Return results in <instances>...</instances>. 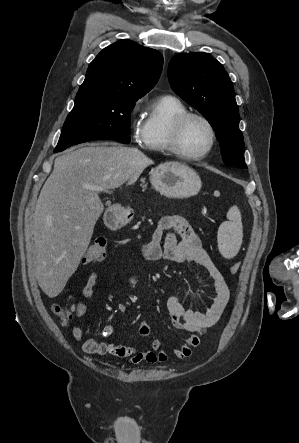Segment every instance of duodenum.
Returning a JSON list of instances; mask_svg holds the SVG:
<instances>
[{
	"instance_id": "obj_1",
	"label": "duodenum",
	"mask_w": 299,
	"mask_h": 443,
	"mask_svg": "<svg viewBox=\"0 0 299 443\" xmlns=\"http://www.w3.org/2000/svg\"><path fill=\"white\" fill-rule=\"evenodd\" d=\"M119 217H120L121 219H126V218H128V212H127L126 210L121 211ZM110 224H111V225H115V221H114V220H110Z\"/></svg>"
}]
</instances>
